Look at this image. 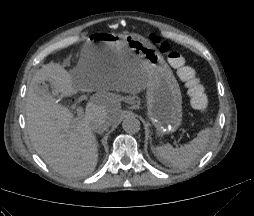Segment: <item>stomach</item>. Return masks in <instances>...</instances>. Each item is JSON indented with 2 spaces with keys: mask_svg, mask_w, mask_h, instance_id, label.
Returning <instances> with one entry per match:
<instances>
[{
  "mask_svg": "<svg viewBox=\"0 0 254 216\" xmlns=\"http://www.w3.org/2000/svg\"><path fill=\"white\" fill-rule=\"evenodd\" d=\"M94 70L118 62H139L147 73V117L159 135L175 131L182 122V95L172 70L157 48L144 37L123 38L108 33L91 36L86 52Z\"/></svg>",
  "mask_w": 254,
  "mask_h": 216,
  "instance_id": "obj_1",
  "label": "stomach"
}]
</instances>
